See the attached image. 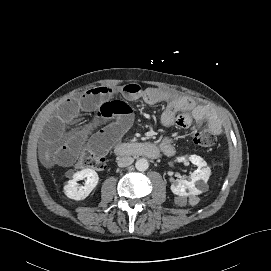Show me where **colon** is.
Wrapping results in <instances>:
<instances>
[{"mask_svg":"<svg viewBox=\"0 0 271 271\" xmlns=\"http://www.w3.org/2000/svg\"><path fill=\"white\" fill-rule=\"evenodd\" d=\"M217 138L214 132L209 127L202 123L197 127L194 134V142L202 148H211L216 144ZM105 166L104 158L86 150L80 158L75 162V169H94L102 170Z\"/></svg>","mask_w":271,"mask_h":271,"instance_id":"5ec220e1","label":"colon"}]
</instances>
